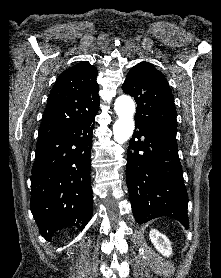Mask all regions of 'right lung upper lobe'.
<instances>
[{
  "label": "right lung upper lobe",
  "mask_w": 221,
  "mask_h": 278,
  "mask_svg": "<svg viewBox=\"0 0 221 278\" xmlns=\"http://www.w3.org/2000/svg\"><path fill=\"white\" fill-rule=\"evenodd\" d=\"M97 74L94 65L80 62L59 75L49 95L37 145L96 115L100 104Z\"/></svg>",
  "instance_id": "cb5924a9"
}]
</instances>
